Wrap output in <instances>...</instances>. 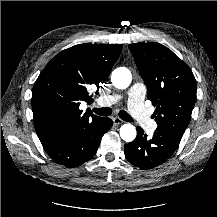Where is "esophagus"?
<instances>
[{
    "label": "esophagus",
    "instance_id": "1",
    "mask_svg": "<svg viewBox=\"0 0 217 217\" xmlns=\"http://www.w3.org/2000/svg\"><path fill=\"white\" fill-rule=\"evenodd\" d=\"M124 121L122 120V119H120V118H118V117H114L113 118V123H114V125H120V124H122Z\"/></svg>",
    "mask_w": 217,
    "mask_h": 217
}]
</instances>
